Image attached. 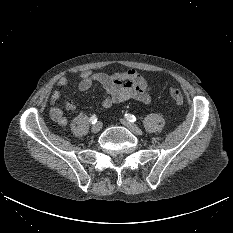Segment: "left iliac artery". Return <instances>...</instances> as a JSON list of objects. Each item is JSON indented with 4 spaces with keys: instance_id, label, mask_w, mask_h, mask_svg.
Returning a JSON list of instances; mask_svg holds the SVG:
<instances>
[{
    "instance_id": "left-iliac-artery-1",
    "label": "left iliac artery",
    "mask_w": 233,
    "mask_h": 233,
    "mask_svg": "<svg viewBox=\"0 0 233 233\" xmlns=\"http://www.w3.org/2000/svg\"><path fill=\"white\" fill-rule=\"evenodd\" d=\"M125 118L127 119V120H129L130 122H135L136 121V117L134 116V115H131V114H129V113H125Z\"/></svg>"
}]
</instances>
